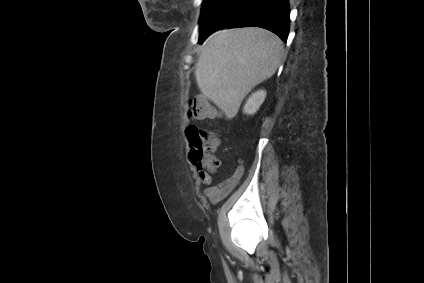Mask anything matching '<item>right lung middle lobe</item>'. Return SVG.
<instances>
[{
    "label": "right lung middle lobe",
    "instance_id": "1",
    "mask_svg": "<svg viewBox=\"0 0 424 283\" xmlns=\"http://www.w3.org/2000/svg\"><path fill=\"white\" fill-rule=\"evenodd\" d=\"M228 0H204L199 19L200 30L206 26L211 18H213L226 4Z\"/></svg>",
    "mask_w": 424,
    "mask_h": 283
}]
</instances>
